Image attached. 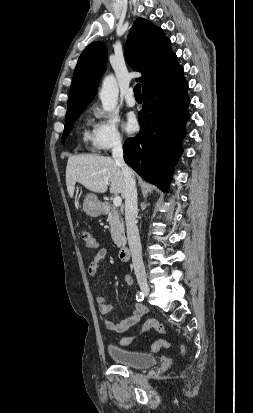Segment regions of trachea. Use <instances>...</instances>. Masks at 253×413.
<instances>
[{"mask_svg": "<svg viewBox=\"0 0 253 413\" xmlns=\"http://www.w3.org/2000/svg\"><path fill=\"white\" fill-rule=\"evenodd\" d=\"M134 96H135V98H142L141 84L140 83L136 84L135 87H134Z\"/></svg>", "mask_w": 253, "mask_h": 413, "instance_id": "3493384b", "label": "trachea"}]
</instances>
